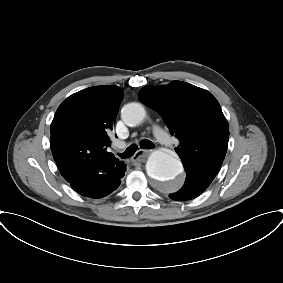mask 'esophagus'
I'll return each instance as SVG.
<instances>
[{
	"label": "esophagus",
	"mask_w": 283,
	"mask_h": 283,
	"mask_svg": "<svg viewBox=\"0 0 283 283\" xmlns=\"http://www.w3.org/2000/svg\"><path fill=\"white\" fill-rule=\"evenodd\" d=\"M148 154V150L141 149L136 152V154L132 157V162H144L146 160Z\"/></svg>",
	"instance_id": "obj_1"
}]
</instances>
